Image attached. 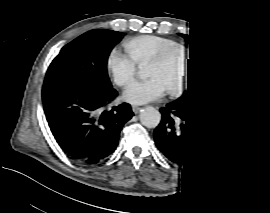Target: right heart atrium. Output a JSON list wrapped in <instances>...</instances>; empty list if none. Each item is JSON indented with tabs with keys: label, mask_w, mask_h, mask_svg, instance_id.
<instances>
[{
	"label": "right heart atrium",
	"mask_w": 270,
	"mask_h": 213,
	"mask_svg": "<svg viewBox=\"0 0 270 213\" xmlns=\"http://www.w3.org/2000/svg\"><path fill=\"white\" fill-rule=\"evenodd\" d=\"M115 82L120 86H126L136 76V63L129 57L114 52L108 62Z\"/></svg>",
	"instance_id": "obj_1"
}]
</instances>
